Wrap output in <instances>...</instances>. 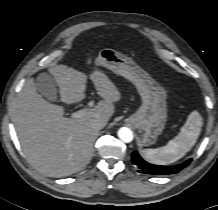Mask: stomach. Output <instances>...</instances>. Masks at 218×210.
I'll use <instances>...</instances> for the list:
<instances>
[{
	"label": "stomach",
	"instance_id": "obj_1",
	"mask_svg": "<svg viewBox=\"0 0 218 210\" xmlns=\"http://www.w3.org/2000/svg\"><path fill=\"white\" fill-rule=\"evenodd\" d=\"M95 63L122 75L136 86L142 104L126 122L138 130L142 146L154 144L167 121L165 89L131 58L113 49L101 50Z\"/></svg>",
	"mask_w": 218,
	"mask_h": 210
}]
</instances>
